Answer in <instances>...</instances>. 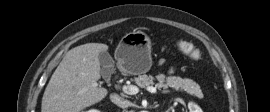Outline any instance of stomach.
Here are the masks:
<instances>
[{
    "label": "stomach",
    "mask_w": 270,
    "mask_h": 112,
    "mask_svg": "<svg viewBox=\"0 0 270 112\" xmlns=\"http://www.w3.org/2000/svg\"><path fill=\"white\" fill-rule=\"evenodd\" d=\"M115 58L123 72L146 73L152 65L150 38L141 31L127 33L115 50Z\"/></svg>",
    "instance_id": "obj_1"
}]
</instances>
